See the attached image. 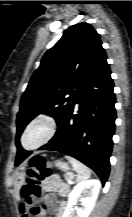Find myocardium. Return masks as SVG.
I'll return each mask as SVG.
<instances>
[{
	"label": "myocardium",
	"mask_w": 132,
	"mask_h": 217,
	"mask_svg": "<svg viewBox=\"0 0 132 217\" xmlns=\"http://www.w3.org/2000/svg\"><path fill=\"white\" fill-rule=\"evenodd\" d=\"M38 125H42L45 129L43 137L35 145L27 146L25 144L26 135L28 134L30 130H32L34 127ZM56 129H57V123H56L55 118L48 113H40L36 115L33 119H31L29 123L25 126L21 134V137H20V143L22 147L25 148L26 150L38 149L41 146L48 143L53 138V136L56 133Z\"/></svg>",
	"instance_id": "f54148a6"
}]
</instances>
